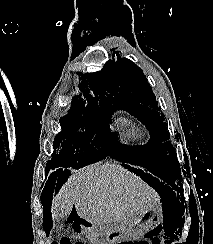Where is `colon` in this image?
I'll return each instance as SVG.
<instances>
[{
  "instance_id": "1",
  "label": "colon",
  "mask_w": 213,
  "mask_h": 244,
  "mask_svg": "<svg viewBox=\"0 0 213 244\" xmlns=\"http://www.w3.org/2000/svg\"><path fill=\"white\" fill-rule=\"evenodd\" d=\"M51 244H85V243L80 241L73 242L71 239L62 238L58 241L52 242Z\"/></svg>"
}]
</instances>
